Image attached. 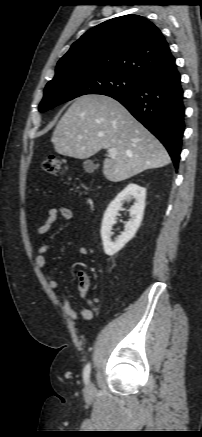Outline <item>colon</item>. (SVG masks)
<instances>
[{
	"label": "colon",
	"mask_w": 202,
	"mask_h": 437,
	"mask_svg": "<svg viewBox=\"0 0 202 437\" xmlns=\"http://www.w3.org/2000/svg\"><path fill=\"white\" fill-rule=\"evenodd\" d=\"M41 169L51 175H56L64 169V162L56 156H49L41 163Z\"/></svg>",
	"instance_id": "1"
}]
</instances>
